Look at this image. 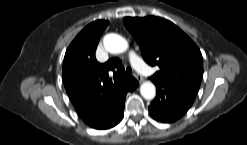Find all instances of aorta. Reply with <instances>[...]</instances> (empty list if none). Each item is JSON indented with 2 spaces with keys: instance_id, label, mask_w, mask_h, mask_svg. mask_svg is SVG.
Wrapping results in <instances>:
<instances>
[{
  "instance_id": "762f6f07",
  "label": "aorta",
  "mask_w": 247,
  "mask_h": 145,
  "mask_svg": "<svg viewBox=\"0 0 247 145\" xmlns=\"http://www.w3.org/2000/svg\"><path fill=\"white\" fill-rule=\"evenodd\" d=\"M105 49L113 54L123 53L128 49V42L120 35L111 33L103 39ZM140 93L146 100H152L156 95L155 85L150 82H144L140 87Z\"/></svg>"
}]
</instances>
